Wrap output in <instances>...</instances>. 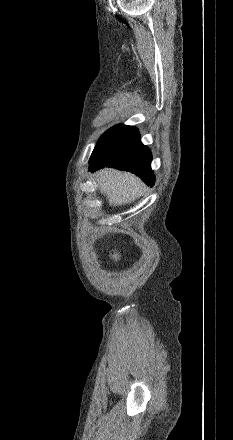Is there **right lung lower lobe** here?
<instances>
[{
  "instance_id": "98d812e1",
  "label": "right lung lower lobe",
  "mask_w": 233,
  "mask_h": 440,
  "mask_svg": "<svg viewBox=\"0 0 233 440\" xmlns=\"http://www.w3.org/2000/svg\"><path fill=\"white\" fill-rule=\"evenodd\" d=\"M151 160V152L141 143L138 130L117 125L107 130L96 144L90 157V170L108 166L131 171L152 186L155 177Z\"/></svg>"
}]
</instances>
